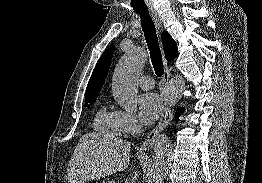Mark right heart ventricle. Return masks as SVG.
Listing matches in <instances>:
<instances>
[{
	"label": "right heart ventricle",
	"instance_id": "obj_1",
	"mask_svg": "<svg viewBox=\"0 0 262 183\" xmlns=\"http://www.w3.org/2000/svg\"><path fill=\"white\" fill-rule=\"evenodd\" d=\"M94 129L103 134L119 137L124 134L121 127L118 112L106 106H102L96 112Z\"/></svg>",
	"mask_w": 262,
	"mask_h": 183
}]
</instances>
